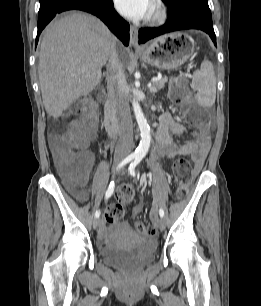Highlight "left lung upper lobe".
<instances>
[{
    "instance_id": "5c2ea615",
    "label": "left lung upper lobe",
    "mask_w": 261,
    "mask_h": 306,
    "mask_svg": "<svg viewBox=\"0 0 261 306\" xmlns=\"http://www.w3.org/2000/svg\"><path fill=\"white\" fill-rule=\"evenodd\" d=\"M164 3H171V2H173V1H175V0H162Z\"/></svg>"
}]
</instances>
